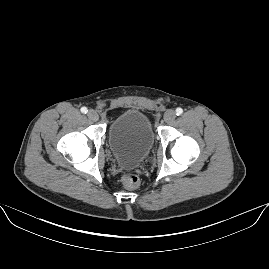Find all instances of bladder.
Here are the masks:
<instances>
[{
    "mask_svg": "<svg viewBox=\"0 0 269 269\" xmlns=\"http://www.w3.org/2000/svg\"><path fill=\"white\" fill-rule=\"evenodd\" d=\"M107 141L117 164L137 165L153 147V124L141 111L126 109L111 122Z\"/></svg>",
    "mask_w": 269,
    "mask_h": 269,
    "instance_id": "bladder-1",
    "label": "bladder"
}]
</instances>
